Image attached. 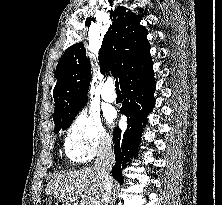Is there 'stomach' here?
<instances>
[{"mask_svg": "<svg viewBox=\"0 0 222 205\" xmlns=\"http://www.w3.org/2000/svg\"><path fill=\"white\" fill-rule=\"evenodd\" d=\"M56 205H65V203L62 202V201H60V200H58V201L56 202Z\"/></svg>", "mask_w": 222, "mask_h": 205, "instance_id": "obj_1", "label": "stomach"}]
</instances>
